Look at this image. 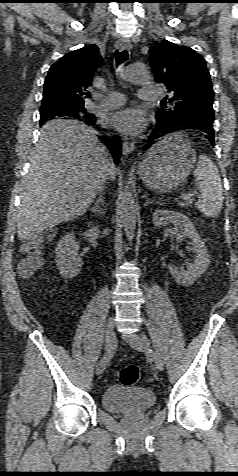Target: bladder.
Instances as JSON below:
<instances>
[{"label":"bladder","mask_w":238,"mask_h":476,"mask_svg":"<svg viewBox=\"0 0 238 476\" xmlns=\"http://www.w3.org/2000/svg\"><path fill=\"white\" fill-rule=\"evenodd\" d=\"M101 401L103 408L111 413H139L152 408L156 397L147 387L113 385L104 390Z\"/></svg>","instance_id":"31cf9c89"}]
</instances>
